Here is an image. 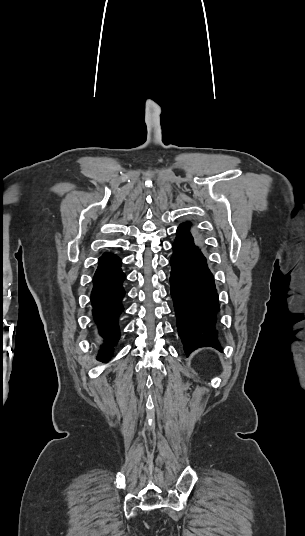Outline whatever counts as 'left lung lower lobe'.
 Masks as SVG:
<instances>
[{
	"instance_id": "1",
	"label": "left lung lower lobe",
	"mask_w": 305,
	"mask_h": 536,
	"mask_svg": "<svg viewBox=\"0 0 305 536\" xmlns=\"http://www.w3.org/2000/svg\"><path fill=\"white\" fill-rule=\"evenodd\" d=\"M170 264L171 296L186 355L207 346L222 351L215 330L219 303L214 277L189 228L178 227Z\"/></svg>"
}]
</instances>
